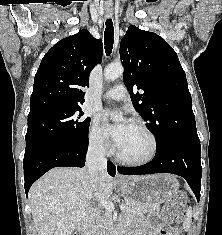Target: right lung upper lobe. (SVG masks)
Instances as JSON below:
<instances>
[{
	"mask_svg": "<svg viewBox=\"0 0 222 235\" xmlns=\"http://www.w3.org/2000/svg\"><path fill=\"white\" fill-rule=\"evenodd\" d=\"M101 40L86 29L62 39L43 57L34 78L29 115L54 106L81 105L89 74L102 60Z\"/></svg>",
	"mask_w": 222,
	"mask_h": 235,
	"instance_id": "right-lung-upper-lobe-1",
	"label": "right lung upper lobe"
}]
</instances>
